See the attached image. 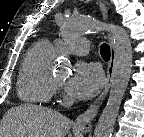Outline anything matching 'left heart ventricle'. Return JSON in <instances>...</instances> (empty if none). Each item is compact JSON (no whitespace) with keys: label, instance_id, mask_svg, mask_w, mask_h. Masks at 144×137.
Returning <instances> with one entry per match:
<instances>
[{"label":"left heart ventricle","instance_id":"left-heart-ventricle-1","mask_svg":"<svg viewBox=\"0 0 144 137\" xmlns=\"http://www.w3.org/2000/svg\"><path fill=\"white\" fill-rule=\"evenodd\" d=\"M56 77L63 83L66 80L67 75L65 73L57 74Z\"/></svg>","mask_w":144,"mask_h":137}]
</instances>
